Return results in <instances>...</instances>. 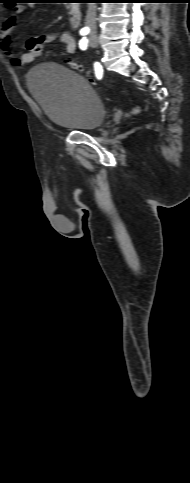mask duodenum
Listing matches in <instances>:
<instances>
[{
    "mask_svg": "<svg viewBox=\"0 0 190 483\" xmlns=\"http://www.w3.org/2000/svg\"><path fill=\"white\" fill-rule=\"evenodd\" d=\"M70 26L76 28L80 24L81 13L78 7H72L68 11Z\"/></svg>",
    "mask_w": 190,
    "mask_h": 483,
    "instance_id": "duodenum-1",
    "label": "duodenum"
}]
</instances>
